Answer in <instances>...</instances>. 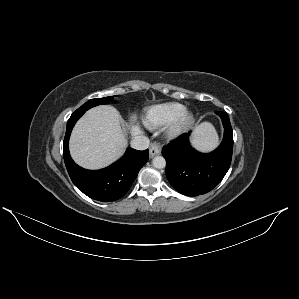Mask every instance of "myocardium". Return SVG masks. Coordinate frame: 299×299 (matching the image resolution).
<instances>
[{
    "instance_id": "f54148a6",
    "label": "myocardium",
    "mask_w": 299,
    "mask_h": 299,
    "mask_svg": "<svg viewBox=\"0 0 299 299\" xmlns=\"http://www.w3.org/2000/svg\"><path fill=\"white\" fill-rule=\"evenodd\" d=\"M194 123V115L191 111L183 110L167 127L169 137L175 138L186 133Z\"/></svg>"
}]
</instances>
